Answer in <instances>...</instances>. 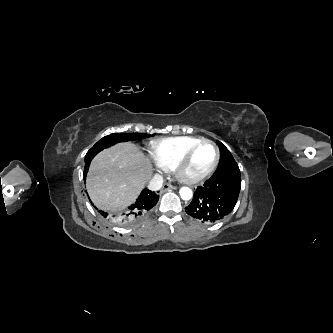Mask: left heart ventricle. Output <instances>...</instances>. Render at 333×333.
I'll use <instances>...</instances> for the list:
<instances>
[{
  "mask_svg": "<svg viewBox=\"0 0 333 333\" xmlns=\"http://www.w3.org/2000/svg\"><path fill=\"white\" fill-rule=\"evenodd\" d=\"M216 159V150L210 144L201 145L184 168V175L194 177L206 172Z\"/></svg>",
  "mask_w": 333,
  "mask_h": 333,
  "instance_id": "left-heart-ventricle-1",
  "label": "left heart ventricle"
}]
</instances>
